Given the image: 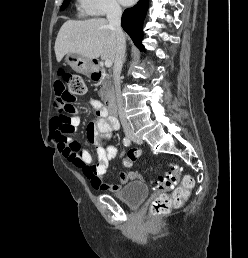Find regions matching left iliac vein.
Wrapping results in <instances>:
<instances>
[{
	"instance_id": "obj_1",
	"label": "left iliac vein",
	"mask_w": 248,
	"mask_h": 258,
	"mask_svg": "<svg viewBox=\"0 0 248 258\" xmlns=\"http://www.w3.org/2000/svg\"><path fill=\"white\" fill-rule=\"evenodd\" d=\"M131 139L133 142L137 143V144H142L143 140L140 136H131Z\"/></svg>"
}]
</instances>
